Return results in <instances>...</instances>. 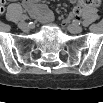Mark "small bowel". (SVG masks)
<instances>
[{
    "label": "small bowel",
    "mask_w": 103,
    "mask_h": 103,
    "mask_svg": "<svg viewBox=\"0 0 103 103\" xmlns=\"http://www.w3.org/2000/svg\"><path fill=\"white\" fill-rule=\"evenodd\" d=\"M5 2L2 1L0 4V9L4 10ZM23 8L34 18L40 20L41 22L48 23L53 20V13L48 9V7L34 0H24L22 1Z\"/></svg>",
    "instance_id": "1"
}]
</instances>
